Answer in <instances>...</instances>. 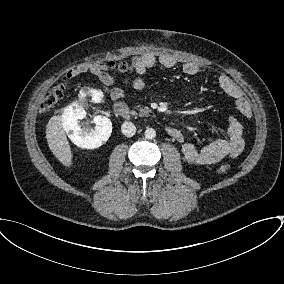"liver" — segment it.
<instances>
[{"instance_id": "liver-1", "label": "liver", "mask_w": 284, "mask_h": 284, "mask_svg": "<svg viewBox=\"0 0 284 284\" xmlns=\"http://www.w3.org/2000/svg\"><path fill=\"white\" fill-rule=\"evenodd\" d=\"M46 139L54 156L66 167L72 165L73 154L60 116H53L46 126Z\"/></svg>"}]
</instances>
